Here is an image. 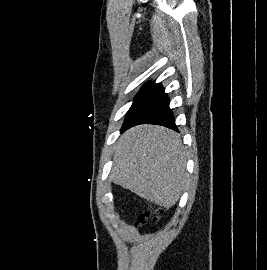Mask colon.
I'll list each match as a JSON object with an SVG mask.
<instances>
[{
	"instance_id": "colon-1",
	"label": "colon",
	"mask_w": 267,
	"mask_h": 270,
	"mask_svg": "<svg viewBox=\"0 0 267 270\" xmlns=\"http://www.w3.org/2000/svg\"><path fill=\"white\" fill-rule=\"evenodd\" d=\"M159 213H160L159 210H156V211H155V215L153 216V219H154V220H156V219L158 218V214H159ZM150 217H152V212H151V211H146V212H144V213H142V214L139 215L136 224H137L138 226H142V225H144V224L147 222V220H148Z\"/></svg>"
}]
</instances>
